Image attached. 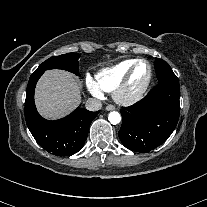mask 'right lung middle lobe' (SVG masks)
Listing matches in <instances>:
<instances>
[{
  "instance_id": "obj_1",
  "label": "right lung middle lobe",
  "mask_w": 207,
  "mask_h": 207,
  "mask_svg": "<svg viewBox=\"0 0 207 207\" xmlns=\"http://www.w3.org/2000/svg\"><path fill=\"white\" fill-rule=\"evenodd\" d=\"M80 55L77 53H68L60 56H53L44 61L34 73L44 72L48 69H63L79 75L78 59Z\"/></svg>"
}]
</instances>
